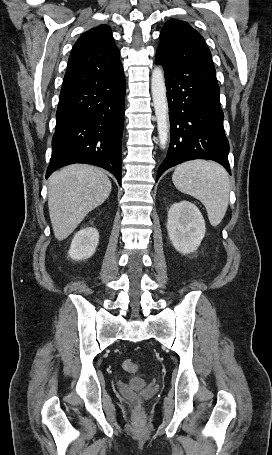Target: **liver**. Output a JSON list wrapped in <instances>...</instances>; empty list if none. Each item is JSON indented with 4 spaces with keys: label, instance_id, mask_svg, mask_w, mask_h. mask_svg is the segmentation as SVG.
I'll use <instances>...</instances> for the list:
<instances>
[{
    "label": "liver",
    "instance_id": "liver-1",
    "mask_svg": "<svg viewBox=\"0 0 272 455\" xmlns=\"http://www.w3.org/2000/svg\"><path fill=\"white\" fill-rule=\"evenodd\" d=\"M111 182L100 169L84 164L64 167L48 184V208L55 238L66 239L93 209L104 203Z\"/></svg>",
    "mask_w": 272,
    "mask_h": 455
}]
</instances>
